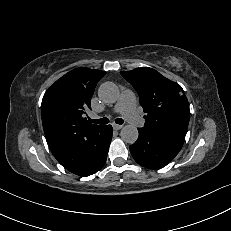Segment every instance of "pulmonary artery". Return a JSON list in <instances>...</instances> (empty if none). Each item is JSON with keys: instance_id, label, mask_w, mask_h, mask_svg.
<instances>
[{"instance_id": "e3ab8cb5", "label": "pulmonary artery", "mask_w": 231, "mask_h": 231, "mask_svg": "<svg viewBox=\"0 0 231 231\" xmlns=\"http://www.w3.org/2000/svg\"><path fill=\"white\" fill-rule=\"evenodd\" d=\"M113 112L122 114L133 126L143 127L144 119L136 109V97L131 91H123ZM94 118L96 115H92Z\"/></svg>"}]
</instances>
